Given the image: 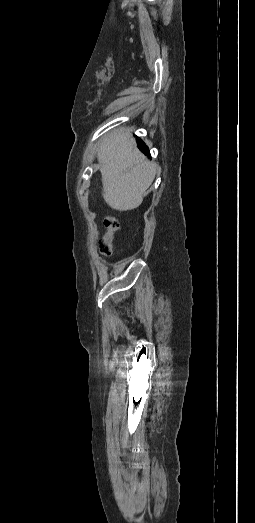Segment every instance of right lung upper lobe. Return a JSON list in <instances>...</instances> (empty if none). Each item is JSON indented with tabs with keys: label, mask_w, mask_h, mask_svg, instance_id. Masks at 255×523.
Returning a JSON list of instances; mask_svg holds the SVG:
<instances>
[{
	"label": "right lung upper lobe",
	"mask_w": 255,
	"mask_h": 523,
	"mask_svg": "<svg viewBox=\"0 0 255 523\" xmlns=\"http://www.w3.org/2000/svg\"><path fill=\"white\" fill-rule=\"evenodd\" d=\"M139 147H140V149H141L144 153L150 155V154H149L148 147H147L144 143H140Z\"/></svg>",
	"instance_id": "1"
}]
</instances>
